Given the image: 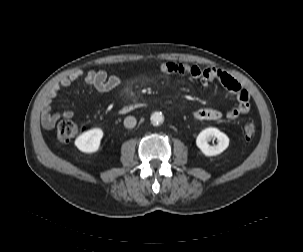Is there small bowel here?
Wrapping results in <instances>:
<instances>
[{"mask_svg": "<svg viewBox=\"0 0 303 252\" xmlns=\"http://www.w3.org/2000/svg\"><path fill=\"white\" fill-rule=\"evenodd\" d=\"M160 69L164 73L188 77L191 81L197 82L205 87L218 81L229 95L236 98V106L228 110L225 115L215 109L203 108L194 113V117L197 120L220 121L224 117L228 120H234L240 115H244L250 111L249 94L246 89H244L232 76L221 72L216 68L200 67L194 64L165 62L161 64ZM78 79H83L87 84L93 85L100 92L114 90L122 83V77L120 75H108L104 70H90L87 72L76 70L71 72L52 86L48 92V96L42 107L41 115L44 128L51 129L58 120L73 117V112L71 111L53 112L52 100L56 96L58 90L69 87Z\"/></svg>", "mask_w": 303, "mask_h": 252, "instance_id": "small-bowel-1", "label": "small bowel"}]
</instances>
